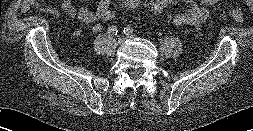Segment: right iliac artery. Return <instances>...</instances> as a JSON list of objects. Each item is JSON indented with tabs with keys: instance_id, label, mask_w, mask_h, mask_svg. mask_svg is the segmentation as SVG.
I'll list each match as a JSON object with an SVG mask.
<instances>
[{
	"instance_id": "82829eb1",
	"label": "right iliac artery",
	"mask_w": 253,
	"mask_h": 131,
	"mask_svg": "<svg viewBox=\"0 0 253 131\" xmlns=\"http://www.w3.org/2000/svg\"><path fill=\"white\" fill-rule=\"evenodd\" d=\"M108 33L109 34H112V35H117L119 33L118 29L116 26L114 25H111L109 28H108Z\"/></svg>"
}]
</instances>
